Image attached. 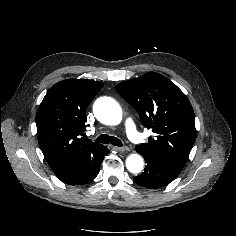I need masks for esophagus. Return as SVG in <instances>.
<instances>
[{"label": "esophagus", "instance_id": "esophagus-1", "mask_svg": "<svg viewBox=\"0 0 236 236\" xmlns=\"http://www.w3.org/2000/svg\"><path fill=\"white\" fill-rule=\"evenodd\" d=\"M113 149L117 150V151H129V148L128 147H117V146H114Z\"/></svg>", "mask_w": 236, "mask_h": 236}]
</instances>
